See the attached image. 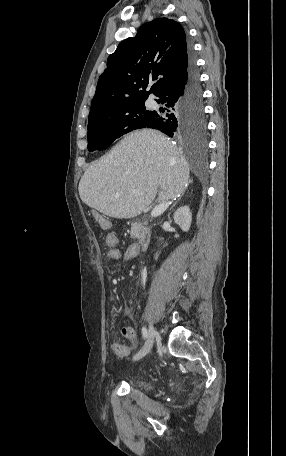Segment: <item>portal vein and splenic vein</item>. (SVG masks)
<instances>
[{"instance_id": "1", "label": "portal vein and splenic vein", "mask_w": 286, "mask_h": 456, "mask_svg": "<svg viewBox=\"0 0 286 456\" xmlns=\"http://www.w3.org/2000/svg\"><path fill=\"white\" fill-rule=\"evenodd\" d=\"M170 204V202H165V203H162V204H159L157 206H155L152 211H151V215L152 216H158L160 215L166 208L167 206Z\"/></svg>"}]
</instances>
